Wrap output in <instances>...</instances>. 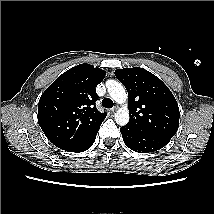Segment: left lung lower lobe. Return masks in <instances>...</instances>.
Listing matches in <instances>:
<instances>
[{
  "mask_svg": "<svg viewBox=\"0 0 214 214\" xmlns=\"http://www.w3.org/2000/svg\"><path fill=\"white\" fill-rule=\"evenodd\" d=\"M120 131L126 146L139 153L154 152L167 145L170 141L168 138L133 130L126 126L121 127Z\"/></svg>",
  "mask_w": 214,
  "mask_h": 214,
  "instance_id": "left-lung-lower-lobe-1",
  "label": "left lung lower lobe"
}]
</instances>
